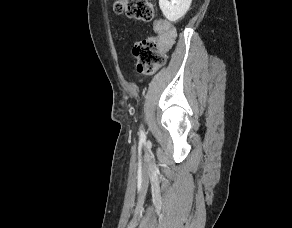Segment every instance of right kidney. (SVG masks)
Wrapping results in <instances>:
<instances>
[{"label": "right kidney", "instance_id": "obj_1", "mask_svg": "<svg viewBox=\"0 0 292 228\" xmlns=\"http://www.w3.org/2000/svg\"><path fill=\"white\" fill-rule=\"evenodd\" d=\"M192 0H159L163 15L171 22L182 18L188 11Z\"/></svg>", "mask_w": 292, "mask_h": 228}]
</instances>
